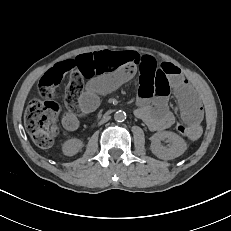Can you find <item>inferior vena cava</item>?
<instances>
[{
	"mask_svg": "<svg viewBox=\"0 0 231 231\" xmlns=\"http://www.w3.org/2000/svg\"><path fill=\"white\" fill-rule=\"evenodd\" d=\"M107 120H109V117L104 118V119H103V122H105V121H107Z\"/></svg>",
	"mask_w": 231,
	"mask_h": 231,
	"instance_id": "602c4592",
	"label": "inferior vena cava"
}]
</instances>
